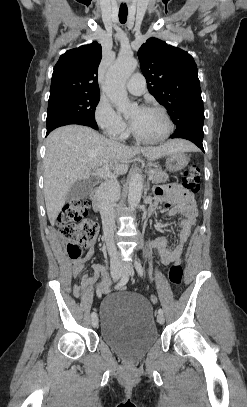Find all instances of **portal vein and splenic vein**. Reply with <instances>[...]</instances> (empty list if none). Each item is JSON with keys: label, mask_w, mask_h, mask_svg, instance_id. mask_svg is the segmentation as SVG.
I'll return each instance as SVG.
<instances>
[{"label": "portal vein and splenic vein", "mask_w": 247, "mask_h": 407, "mask_svg": "<svg viewBox=\"0 0 247 407\" xmlns=\"http://www.w3.org/2000/svg\"><path fill=\"white\" fill-rule=\"evenodd\" d=\"M96 173L102 177H106V178H116L114 174H112L107 165L103 166V168L97 169ZM153 178L152 175H149V180H151Z\"/></svg>", "instance_id": "18ae733b"}]
</instances>
